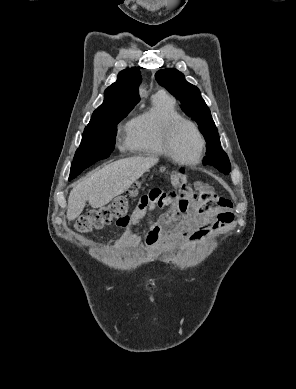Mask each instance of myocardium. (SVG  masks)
<instances>
[{
    "instance_id": "f54148a6",
    "label": "myocardium",
    "mask_w": 296,
    "mask_h": 389,
    "mask_svg": "<svg viewBox=\"0 0 296 389\" xmlns=\"http://www.w3.org/2000/svg\"><path fill=\"white\" fill-rule=\"evenodd\" d=\"M182 124L189 125L194 130V132L196 133V135L199 139L200 149H199L198 156L194 160L182 159V158L178 157L174 151V148H173L174 133H175L176 129ZM162 145H163V149H164L166 155H168L174 161H176L180 164H184V165L198 164L202 160L203 155H204L205 150H206V141H205L204 135L202 134L198 125L195 122H193L192 120L181 117V116L172 118L166 122L164 129H163V132H162Z\"/></svg>"
}]
</instances>
